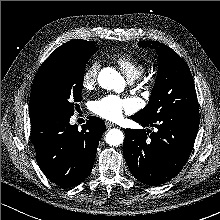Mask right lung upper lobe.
<instances>
[{
	"mask_svg": "<svg viewBox=\"0 0 220 220\" xmlns=\"http://www.w3.org/2000/svg\"><path fill=\"white\" fill-rule=\"evenodd\" d=\"M80 46H95V43L92 41H86V40H81V39H75V40H71L67 43H64L63 45H61L60 47H58L56 50H54L52 52V54L49 56V58L44 61L41 65V67L39 68L34 81H33V85H32V89L36 86V84L39 81L40 78V72L42 70V67L51 59H53L54 57H56L57 55L61 54L62 52L69 50L71 48H75V47H80ZM41 115L39 114V112L34 108L33 104L30 101V105H29V116L30 118H33L35 116Z\"/></svg>",
	"mask_w": 220,
	"mask_h": 220,
	"instance_id": "obj_1",
	"label": "right lung upper lobe"
}]
</instances>
